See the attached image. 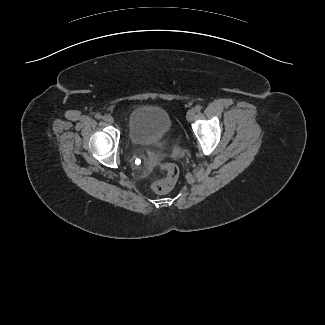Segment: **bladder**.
Listing matches in <instances>:
<instances>
[{
    "label": "bladder",
    "instance_id": "31cf9c89",
    "mask_svg": "<svg viewBox=\"0 0 325 325\" xmlns=\"http://www.w3.org/2000/svg\"><path fill=\"white\" fill-rule=\"evenodd\" d=\"M173 122L169 113L157 106H139L129 115L127 137L131 145L142 146L169 137Z\"/></svg>",
    "mask_w": 325,
    "mask_h": 325
}]
</instances>
